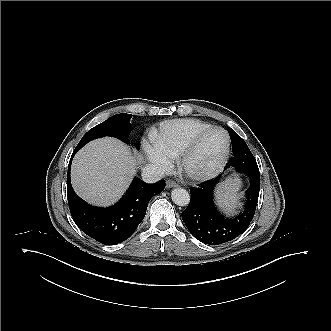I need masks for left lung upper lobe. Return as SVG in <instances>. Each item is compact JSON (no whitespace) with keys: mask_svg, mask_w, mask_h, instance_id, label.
<instances>
[{"mask_svg":"<svg viewBox=\"0 0 331 331\" xmlns=\"http://www.w3.org/2000/svg\"><path fill=\"white\" fill-rule=\"evenodd\" d=\"M228 132L231 138V143L234 141L235 145L232 146L233 157L230 158L227 166L243 165L258 167L256 159L250 152L245 141L230 127H228Z\"/></svg>","mask_w":331,"mask_h":331,"instance_id":"obj_1","label":"left lung upper lobe"}]
</instances>
